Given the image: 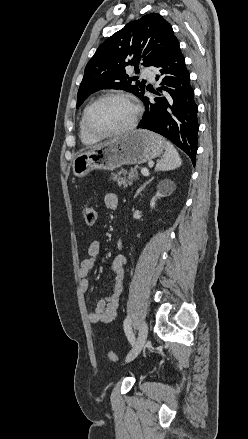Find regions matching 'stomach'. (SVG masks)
<instances>
[{
    "instance_id": "obj_1",
    "label": "stomach",
    "mask_w": 248,
    "mask_h": 439,
    "mask_svg": "<svg viewBox=\"0 0 248 439\" xmlns=\"http://www.w3.org/2000/svg\"><path fill=\"white\" fill-rule=\"evenodd\" d=\"M165 149L166 141L161 136L134 130L78 154L73 160V174L82 178L94 169L111 171L124 164L145 163L162 155Z\"/></svg>"
}]
</instances>
